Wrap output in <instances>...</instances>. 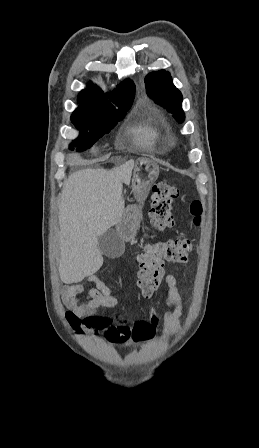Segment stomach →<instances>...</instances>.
Returning a JSON list of instances; mask_svg holds the SVG:
<instances>
[{
    "label": "stomach",
    "mask_w": 259,
    "mask_h": 448,
    "mask_svg": "<svg viewBox=\"0 0 259 448\" xmlns=\"http://www.w3.org/2000/svg\"><path fill=\"white\" fill-rule=\"evenodd\" d=\"M139 174H135L133 178V194L138 200L146 198L152 182L157 178L158 166L153 164L148 158H140L137 162ZM144 209L142 206H124L122 218L119 224H116V232L122 240L130 242L137 234L139 221L143 220Z\"/></svg>",
    "instance_id": "1"
}]
</instances>
